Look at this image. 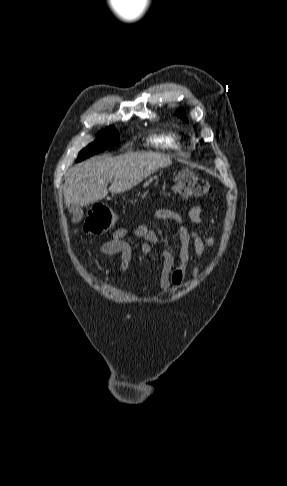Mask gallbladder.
Returning <instances> with one entry per match:
<instances>
[{
  "mask_svg": "<svg viewBox=\"0 0 287 486\" xmlns=\"http://www.w3.org/2000/svg\"><path fill=\"white\" fill-rule=\"evenodd\" d=\"M70 211L73 214L72 222L74 223L80 222L84 216L82 207L71 205Z\"/></svg>",
  "mask_w": 287,
  "mask_h": 486,
  "instance_id": "gallbladder-1",
  "label": "gallbladder"
}]
</instances>
